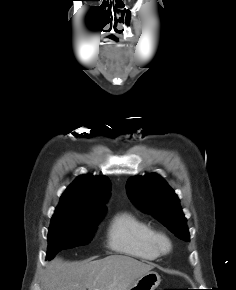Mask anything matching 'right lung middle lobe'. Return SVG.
Instances as JSON below:
<instances>
[{"mask_svg": "<svg viewBox=\"0 0 236 290\" xmlns=\"http://www.w3.org/2000/svg\"><path fill=\"white\" fill-rule=\"evenodd\" d=\"M102 216L103 214L84 217L53 216L48 232L46 259L51 260L62 249L90 243Z\"/></svg>", "mask_w": 236, "mask_h": 290, "instance_id": "right-lung-middle-lobe-1", "label": "right lung middle lobe"}]
</instances>
